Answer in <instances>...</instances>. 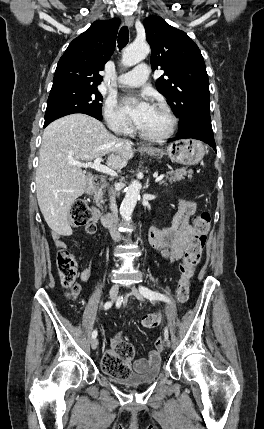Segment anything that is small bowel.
Instances as JSON below:
<instances>
[{
    "instance_id": "small-bowel-1",
    "label": "small bowel",
    "mask_w": 264,
    "mask_h": 429,
    "mask_svg": "<svg viewBox=\"0 0 264 429\" xmlns=\"http://www.w3.org/2000/svg\"><path fill=\"white\" fill-rule=\"evenodd\" d=\"M196 203L192 200L181 199L179 202V210L175 215L170 226L158 229L151 227L148 231V240L150 245L165 259L170 262L179 260L186 249L197 239L198 233L195 228L189 225L190 217L195 213ZM96 221H93L86 227L89 234L96 231ZM70 228L63 232H55L53 239L58 248H65L66 244L62 240L63 236L71 235ZM93 266L87 265L80 274V279L87 282L91 278ZM123 343L121 336H117L113 342V348L105 354H112L116 345ZM160 363V350H152L149 352L147 358H138L134 362L131 360L127 363L128 369L138 373L145 372L150 367L156 366Z\"/></svg>"
}]
</instances>
